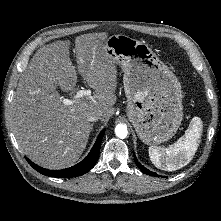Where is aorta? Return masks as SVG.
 Instances as JSON below:
<instances>
[{
    "label": "aorta",
    "mask_w": 221,
    "mask_h": 221,
    "mask_svg": "<svg viewBox=\"0 0 221 221\" xmlns=\"http://www.w3.org/2000/svg\"><path fill=\"white\" fill-rule=\"evenodd\" d=\"M115 134L117 137L124 139L128 135V129L125 124H118L115 127Z\"/></svg>",
    "instance_id": "obj_1"
}]
</instances>
